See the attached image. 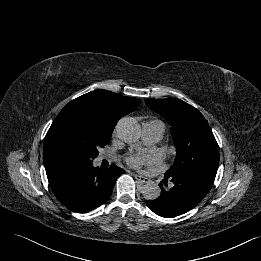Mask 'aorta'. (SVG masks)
<instances>
[{"instance_id": "obj_1", "label": "aorta", "mask_w": 261, "mask_h": 261, "mask_svg": "<svg viewBox=\"0 0 261 261\" xmlns=\"http://www.w3.org/2000/svg\"><path fill=\"white\" fill-rule=\"evenodd\" d=\"M118 137L127 144L138 142L141 136V126L131 117L123 118L117 125ZM142 195L146 200H155L160 196V187L152 181L147 182L142 188Z\"/></svg>"}]
</instances>
